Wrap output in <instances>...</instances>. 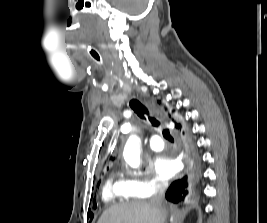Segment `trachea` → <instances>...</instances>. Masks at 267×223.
Instances as JSON below:
<instances>
[{
	"label": "trachea",
	"instance_id": "3493384b",
	"mask_svg": "<svg viewBox=\"0 0 267 223\" xmlns=\"http://www.w3.org/2000/svg\"><path fill=\"white\" fill-rule=\"evenodd\" d=\"M130 107L134 110V112L141 118V119H148L149 122L151 123V125L153 127H156L158 128L160 126V122L153 116H151L149 114V111L148 109L143 105L141 104L138 100L136 99H132L130 101ZM162 134H163V137L170 141V142H174V139L173 137L171 136L170 134V131L169 130H163L162 131Z\"/></svg>",
	"mask_w": 267,
	"mask_h": 223
}]
</instances>
